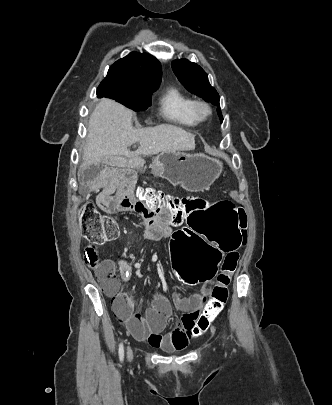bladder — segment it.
<instances>
[{
    "instance_id": "31cf9c89",
    "label": "bladder",
    "mask_w": 332,
    "mask_h": 405,
    "mask_svg": "<svg viewBox=\"0 0 332 405\" xmlns=\"http://www.w3.org/2000/svg\"><path fill=\"white\" fill-rule=\"evenodd\" d=\"M173 351H174V349H169V350H168V352H173Z\"/></svg>"
}]
</instances>
